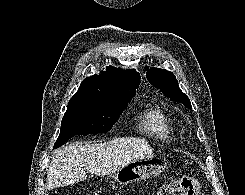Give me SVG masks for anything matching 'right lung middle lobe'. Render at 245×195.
Returning a JSON list of instances; mask_svg holds the SVG:
<instances>
[{
    "mask_svg": "<svg viewBox=\"0 0 245 195\" xmlns=\"http://www.w3.org/2000/svg\"><path fill=\"white\" fill-rule=\"evenodd\" d=\"M128 102L129 100L109 101L73 96L62 119L60 135L54 148L63 145L75 135L110 131Z\"/></svg>",
    "mask_w": 245,
    "mask_h": 195,
    "instance_id": "dd1d6c3e",
    "label": "right lung middle lobe"
}]
</instances>
